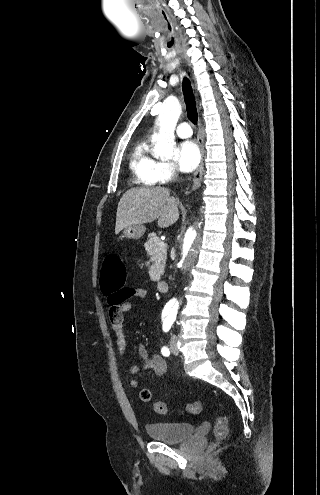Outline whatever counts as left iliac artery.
I'll return each mask as SVG.
<instances>
[{
  "mask_svg": "<svg viewBox=\"0 0 320 495\" xmlns=\"http://www.w3.org/2000/svg\"><path fill=\"white\" fill-rule=\"evenodd\" d=\"M172 324H173V320L172 319H169V318L165 319L163 321V324H162L163 331L164 332H168L170 330ZM161 353L164 356H169L170 351H169V349L166 346H163L162 349H161Z\"/></svg>",
  "mask_w": 320,
  "mask_h": 495,
  "instance_id": "left-iliac-artery-1",
  "label": "left iliac artery"
}]
</instances>
